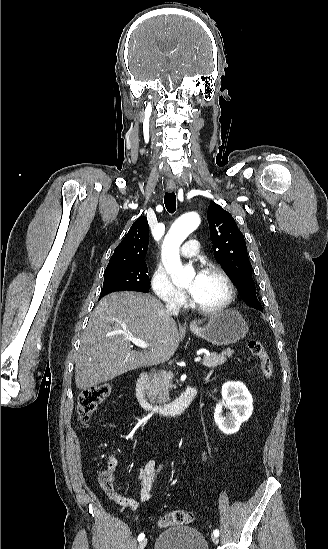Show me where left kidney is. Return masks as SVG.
<instances>
[{
	"instance_id": "1",
	"label": "left kidney",
	"mask_w": 328,
	"mask_h": 549,
	"mask_svg": "<svg viewBox=\"0 0 328 549\" xmlns=\"http://www.w3.org/2000/svg\"><path fill=\"white\" fill-rule=\"evenodd\" d=\"M222 401L216 405L214 419L220 431L225 435H233L240 429L241 423L248 421L253 411V399L244 383L228 381L222 385ZM223 407L229 409L227 417L223 415Z\"/></svg>"
}]
</instances>
